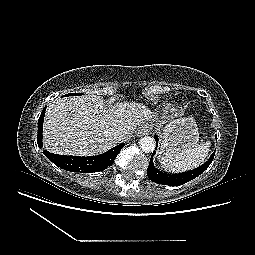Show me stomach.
I'll use <instances>...</instances> for the list:
<instances>
[{
    "instance_id": "stomach-1",
    "label": "stomach",
    "mask_w": 255,
    "mask_h": 255,
    "mask_svg": "<svg viewBox=\"0 0 255 255\" xmlns=\"http://www.w3.org/2000/svg\"><path fill=\"white\" fill-rule=\"evenodd\" d=\"M160 155H176L194 148L199 141L197 124L192 117L169 121L161 133Z\"/></svg>"
}]
</instances>
